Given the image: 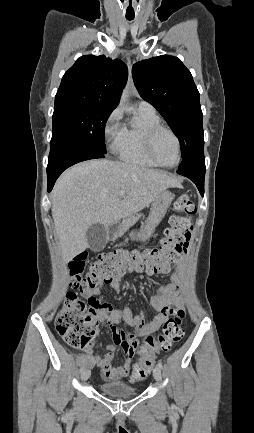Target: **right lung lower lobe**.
I'll return each mask as SVG.
<instances>
[{
    "mask_svg": "<svg viewBox=\"0 0 254 433\" xmlns=\"http://www.w3.org/2000/svg\"><path fill=\"white\" fill-rule=\"evenodd\" d=\"M104 154L87 149L73 141L64 140L55 147H50L47 166L48 192L56 179L68 167L89 159L104 158Z\"/></svg>",
    "mask_w": 254,
    "mask_h": 433,
    "instance_id": "right-lung-lower-lobe-1",
    "label": "right lung lower lobe"
}]
</instances>
